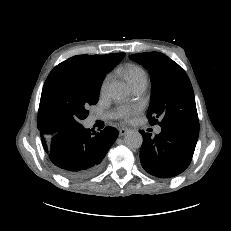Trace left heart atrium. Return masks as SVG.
Masks as SVG:
<instances>
[{
  "instance_id": "left-heart-atrium-1",
  "label": "left heart atrium",
  "mask_w": 231,
  "mask_h": 231,
  "mask_svg": "<svg viewBox=\"0 0 231 231\" xmlns=\"http://www.w3.org/2000/svg\"><path fill=\"white\" fill-rule=\"evenodd\" d=\"M119 113L122 118L128 119L135 113V110L134 109H121Z\"/></svg>"
}]
</instances>
